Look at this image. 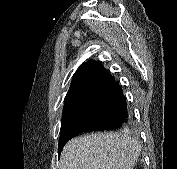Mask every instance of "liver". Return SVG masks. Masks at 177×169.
Segmentation results:
<instances>
[{"label":"liver","instance_id":"liver-1","mask_svg":"<svg viewBox=\"0 0 177 169\" xmlns=\"http://www.w3.org/2000/svg\"><path fill=\"white\" fill-rule=\"evenodd\" d=\"M139 143L126 133H95L70 140L60 155V169H133Z\"/></svg>","mask_w":177,"mask_h":169}]
</instances>
